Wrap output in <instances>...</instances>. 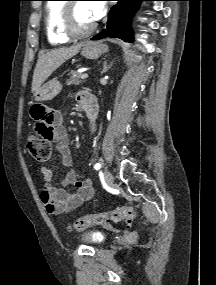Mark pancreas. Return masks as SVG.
<instances>
[{
    "label": "pancreas",
    "mask_w": 216,
    "mask_h": 285,
    "mask_svg": "<svg viewBox=\"0 0 216 285\" xmlns=\"http://www.w3.org/2000/svg\"><path fill=\"white\" fill-rule=\"evenodd\" d=\"M70 77L66 81V85H79L81 84L84 80H82L81 76L82 73H77L75 71L70 72Z\"/></svg>",
    "instance_id": "obj_1"
}]
</instances>
